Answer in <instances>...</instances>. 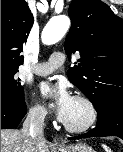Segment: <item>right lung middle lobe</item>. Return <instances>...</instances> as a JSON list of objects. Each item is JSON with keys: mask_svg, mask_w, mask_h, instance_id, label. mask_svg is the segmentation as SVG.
I'll list each match as a JSON object with an SVG mask.
<instances>
[{"mask_svg": "<svg viewBox=\"0 0 123 152\" xmlns=\"http://www.w3.org/2000/svg\"><path fill=\"white\" fill-rule=\"evenodd\" d=\"M18 69L1 67V102L15 105L24 103V90L15 77Z\"/></svg>", "mask_w": 123, "mask_h": 152, "instance_id": "dd1d6c3e", "label": "right lung middle lobe"}]
</instances>
